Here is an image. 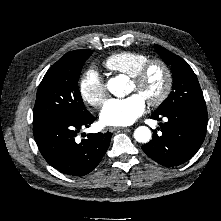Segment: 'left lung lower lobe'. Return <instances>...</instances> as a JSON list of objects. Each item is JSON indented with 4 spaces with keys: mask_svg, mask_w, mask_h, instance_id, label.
I'll return each mask as SVG.
<instances>
[{
    "mask_svg": "<svg viewBox=\"0 0 221 221\" xmlns=\"http://www.w3.org/2000/svg\"><path fill=\"white\" fill-rule=\"evenodd\" d=\"M168 121L160 124L162 134L154 130L152 140L143 145V151L157 163L166 167L180 165L189 160L204 141L207 126L206 107L188 106L165 113H153L152 119ZM159 130V128H158Z\"/></svg>",
    "mask_w": 221,
    "mask_h": 221,
    "instance_id": "left-lung-lower-lobe-1",
    "label": "left lung lower lobe"
}]
</instances>
